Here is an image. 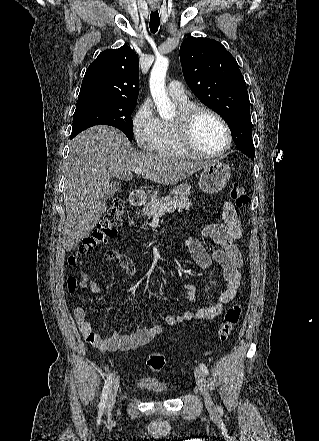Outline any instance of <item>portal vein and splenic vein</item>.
Returning <instances> with one entry per match:
<instances>
[{"label": "portal vein and splenic vein", "mask_w": 319, "mask_h": 441, "mask_svg": "<svg viewBox=\"0 0 319 441\" xmlns=\"http://www.w3.org/2000/svg\"><path fill=\"white\" fill-rule=\"evenodd\" d=\"M134 171H135V173L138 174V175H139V174H142V173L144 172V170L141 169V168H135ZM156 215H160V214L157 213Z\"/></svg>", "instance_id": "obj_1"}]
</instances>
